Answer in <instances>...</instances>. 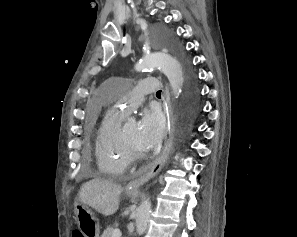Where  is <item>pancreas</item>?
Segmentation results:
<instances>
[{"mask_svg": "<svg viewBox=\"0 0 297 237\" xmlns=\"http://www.w3.org/2000/svg\"><path fill=\"white\" fill-rule=\"evenodd\" d=\"M113 231H114V228L109 226L106 228V230H104L101 237H112Z\"/></svg>", "mask_w": 297, "mask_h": 237, "instance_id": "pancreas-1", "label": "pancreas"}]
</instances>
